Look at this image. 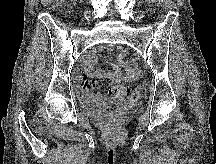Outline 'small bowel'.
<instances>
[{
	"instance_id": "c3829d8e",
	"label": "small bowel",
	"mask_w": 216,
	"mask_h": 164,
	"mask_svg": "<svg viewBox=\"0 0 216 164\" xmlns=\"http://www.w3.org/2000/svg\"><path fill=\"white\" fill-rule=\"evenodd\" d=\"M117 63L113 64L112 71L95 70L92 61H87L82 70L75 75L77 92L86 109L100 115L105 109H112L114 104L101 93H93L91 88L97 86L102 79L111 82L129 81L136 78L138 70L129 61L124 60V50L116 48Z\"/></svg>"
}]
</instances>
